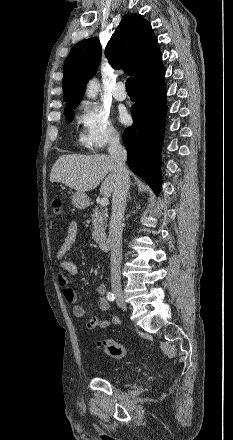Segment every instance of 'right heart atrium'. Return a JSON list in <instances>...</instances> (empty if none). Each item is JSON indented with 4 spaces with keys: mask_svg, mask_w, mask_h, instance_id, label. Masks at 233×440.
<instances>
[{
    "mask_svg": "<svg viewBox=\"0 0 233 440\" xmlns=\"http://www.w3.org/2000/svg\"><path fill=\"white\" fill-rule=\"evenodd\" d=\"M77 122L80 126L79 142L90 152H100L118 140V132L109 113L95 102L81 104Z\"/></svg>",
    "mask_w": 233,
    "mask_h": 440,
    "instance_id": "right-heart-atrium-1",
    "label": "right heart atrium"
}]
</instances>
